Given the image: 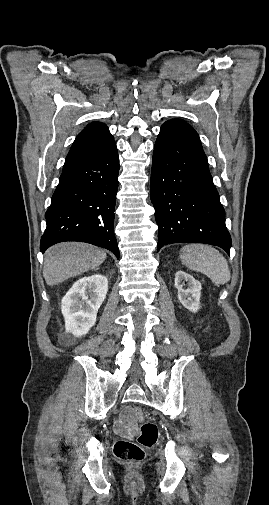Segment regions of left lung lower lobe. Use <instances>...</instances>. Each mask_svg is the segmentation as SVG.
<instances>
[{
  "label": "left lung lower lobe",
  "instance_id": "1",
  "mask_svg": "<svg viewBox=\"0 0 269 505\" xmlns=\"http://www.w3.org/2000/svg\"><path fill=\"white\" fill-rule=\"evenodd\" d=\"M150 196L159 226V251L172 243H206L228 254L231 237L197 132L186 122H165L152 161Z\"/></svg>",
  "mask_w": 269,
  "mask_h": 505
}]
</instances>
